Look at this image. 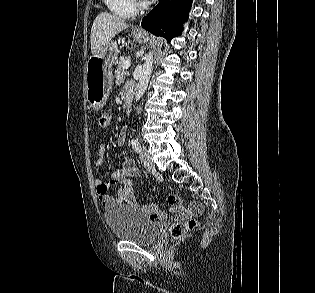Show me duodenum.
Returning a JSON list of instances; mask_svg holds the SVG:
<instances>
[{
  "label": "duodenum",
  "instance_id": "duodenum-1",
  "mask_svg": "<svg viewBox=\"0 0 315 293\" xmlns=\"http://www.w3.org/2000/svg\"><path fill=\"white\" fill-rule=\"evenodd\" d=\"M134 99V91H130L126 93L125 100H124V107L129 108Z\"/></svg>",
  "mask_w": 315,
  "mask_h": 293
}]
</instances>
